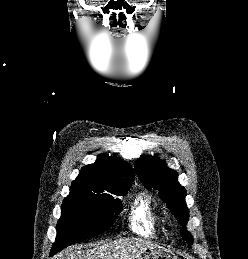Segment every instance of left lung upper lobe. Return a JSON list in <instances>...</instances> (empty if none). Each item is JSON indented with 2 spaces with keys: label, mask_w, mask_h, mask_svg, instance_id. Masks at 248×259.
I'll use <instances>...</instances> for the list:
<instances>
[{
  "label": "left lung upper lobe",
  "mask_w": 248,
  "mask_h": 259,
  "mask_svg": "<svg viewBox=\"0 0 248 259\" xmlns=\"http://www.w3.org/2000/svg\"><path fill=\"white\" fill-rule=\"evenodd\" d=\"M135 170L148 190L159 191L160 198L183 226L181 236L189 244H192L193 238L185 228L189 218V211L185 202L186 190L179 184L177 172L168 168L165 162L156 157L138 160L135 164Z\"/></svg>",
  "instance_id": "1"
}]
</instances>
